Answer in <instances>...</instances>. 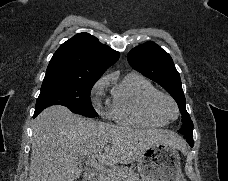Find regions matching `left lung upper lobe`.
<instances>
[{
  "label": "left lung upper lobe",
  "instance_id": "5c2ea615",
  "mask_svg": "<svg viewBox=\"0 0 228 181\" xmlns=\"http://www.w3.org/2000/svg\"><path fill=\"white\" fill-rule=\"evenodd\" d=\"M127 58L132 68L157 82L176 100L183 121L178 132H193V123L185 108L180 75L171 56L154 42H147L132 49Z\"/></svg>",
  "mask_w": 228,
  "mask_h": 181
}]
</instances>
